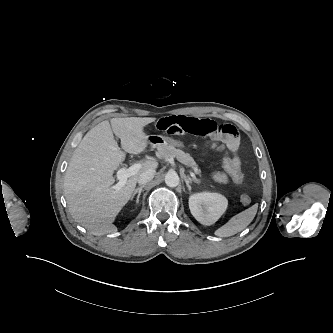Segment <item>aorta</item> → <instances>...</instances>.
Masks as SVG:
<instances>
[{
    "instance_id": "obj_1",
    "label": "aorta",
    "mask_w": 333,
    "mask_h": 333,
    "mask_svg": "<svg viewBox=\"0 0 333 333\" xmlns=\"http://www.w3.org/2000/svg\"><path fill=\"white\" fill-rule=\"evenodd\" d=\"M180 179L176 172H168L165 176V183L169 187H176L179 185Z\"/></svg>"
}]
</instances>
